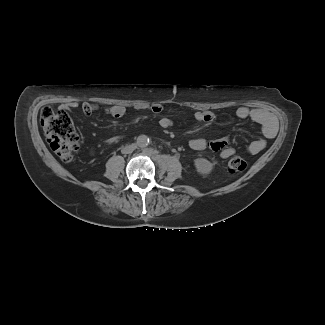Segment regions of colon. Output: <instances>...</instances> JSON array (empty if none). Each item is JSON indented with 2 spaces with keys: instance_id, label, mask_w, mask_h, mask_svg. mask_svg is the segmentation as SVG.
Masks as SVG:
<instances>
[{
  "instance_id": "colon-1",
  "label": "colon",
  "mask_w": 325,
  "mask_h": 325,
  "mask_svg": "<svg viewBox=\"0 0 325 325\" xmlns=\"http://www.w3.org/2000/svg\"><path fill=\"white\" fill-rule=\"evenodd\" d=\"M40 122L51 149L65 162L72 160L79 147V138L75 130L64 125L59 113L45 106L40 111ZM247 162L241 157H233L228 161L230 173L242 172Z\"/></svg>"
}]
</instances>
